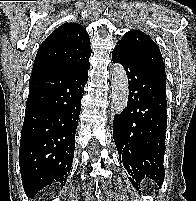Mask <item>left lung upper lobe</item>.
<instances>
[{"label":"left lung upper lobe","instance_id":"1","mask_svg":"<svg viewBox=\"0 0 196 201\" xmlns=\"http://www.w3.org/2000/svg\"><path fill=\"white\" fill-rule=\"evenodd\" d=\"M116 46L121 47L137 63L166 75L158 46L142 31L131 30L125 33Z\"/></svg>","mask_w":196,"mask_h":201}]
</instances>
